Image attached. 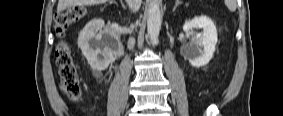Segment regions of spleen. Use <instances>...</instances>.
Wrapping results in <instances>:
<instances>
[{
	"label": "spleen",
	"instance_id": "1",
	"mask_svg": "<svg viewBox=\"0 0 283 116\" xmlns=\"http://www.w3.org/2000/svg\"><path fill=\"white\" fill-rule=\"evenodd\" d=\"M225 5L227 8L231 11L234 12L236 10L237 4L235 0H225Z\"/></svg>",
	"mask_w": 283,
	"mask_h": 116
}]
</instances>
